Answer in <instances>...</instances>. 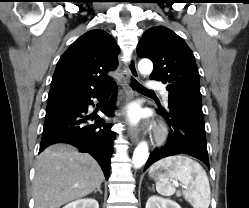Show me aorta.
Instances as JSON below:
<instances>
[{
	"instance_id": "obj_1",
	"label": "aorta",
	"mask_w": 249,
	"mask_h": 208,
	"mask_svg": "<svg viewBox=\"0 0 249 208\" xmlns=\"http://www.w3.org/2000/svg\"><path fill=\"white\" fill-rule=\"evenodd\" d=\"M138 69L141 74H150L153 70V64L149 59H142L138 63ZM149 157V151H148V145L145 141L138 144V146L135 148L133 157H132V163L135 168L142 167L147 159Z\"/></svg>"
}]
</instances>
